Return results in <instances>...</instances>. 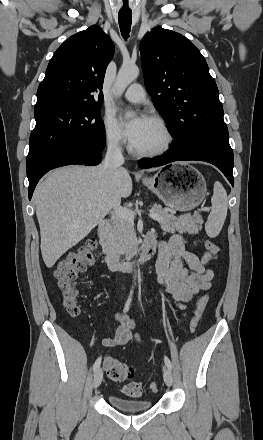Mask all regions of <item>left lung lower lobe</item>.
<instances>
[{
    "instance_id": "1",
    "label": "left lung lower lobe",
    "mask_w": 263,
    "mask_h": 440,
    "mask_svg": "<svg viewBox=\"0 0 263 440\" xmlns=\"http://www.w3.org/2000/svg\"><path fill=\"white\" fill-rule=\"evenodd\" d=\"M179 160H199L211 163L224 173L232 186L234 185V157L229 139L226 137L209 141L189 154H184L176 146L171 145L170 149L162 156L152 159H141L139 167H158Z\"/></svg>"
}]
</instances>
